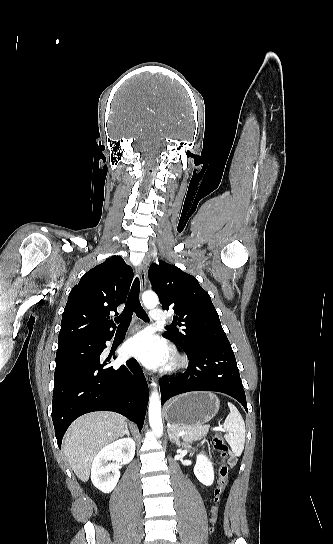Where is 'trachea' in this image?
I'll return each mask as SVG.
<instances>
[{
	"instance_id": "3493384b",
	"label": "trachea",
	"mask_w": 333,
	"mask_h": 544,
	"mask_svg": "<svg viewBox=\"0 0 333 544\" xmlns=\"http://www.w3.org/2000/svg\"><path fill=\"white\" fill-rule=\"evenodd\" d=\"M139 291H140V280L138 277L135 278L125 308L123 312L116 317L114 320L118 323V329L124 330L127 329L130 325L133 312L142 320L149 321L148 315L142 308L139 301ZM169 327V326H168Z\"/></svg>"
}]
</instances>
